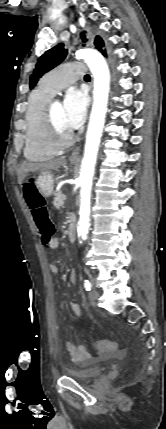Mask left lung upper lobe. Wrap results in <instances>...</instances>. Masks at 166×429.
<instances>
[{
	"label": "left lung upper lobe",
	"mask_w": 166,
	"mask_h": 429,
	"mask_svg": "<svg viewBox=\"0 0 166 429\" xmlns=\"http://www.w3.org/2000/svg\"><path fill=\"white\" fill-rule=\"evenodd\" d=\"M83 42H86L85 36L81 34ZM96 49L100 52L103 50L104 42L101 37L97 36L94 40ZM68 50L64 48V44L60 43L55 47L46 51L39 59L33 74L30 76V88L32 89L38 80L48 71L59 65L65 58Z\"/></svg>",
	"instance_id": "5c2ea615"
}]
</instances>
